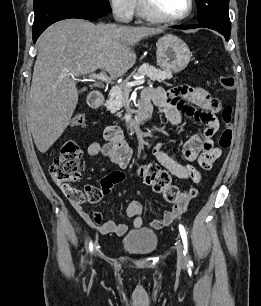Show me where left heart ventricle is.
I'll return each instance as SVG.
<instances>
[{
    "instance_id": "left-heart-ventricle-1",
    "label": "left heart ventricle",
    "mask_w": 261,
    "mask_h": 306,
    "mask_svg": "<svg viewBox=\"0 0 261 306\" xmlns=\"http://www.w3.org/2000/svg\"><path fill=\"white\" fill-rule=\"evenodd\" d=\"M157 9L165 16L175 17L184 14L188 0H153Z\"/></svg>"
}]
</instances>
